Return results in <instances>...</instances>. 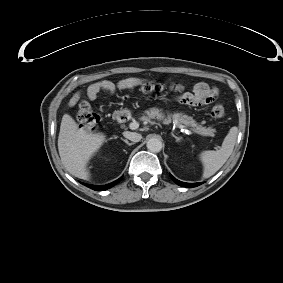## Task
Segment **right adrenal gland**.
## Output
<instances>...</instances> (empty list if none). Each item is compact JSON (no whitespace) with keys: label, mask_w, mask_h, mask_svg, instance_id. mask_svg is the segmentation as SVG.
I'll use <instances>...</instances> for the list:
<instances>
[{"label":"right adrenal gland","mask_w":283,"mask_h":283,"mask_svg":"<svg viewBox=\"0 0 283 283\" xmlns=\"http://www.w3.org/2000/svg\"><path fill=\"white\" fill-rule=\"evenodd\" d=\"M123 142H125L128 146L132 145L133 143H129L127 140L121 138Z\"/></svg>","instance_id":"obj_1"}]
</instances>
